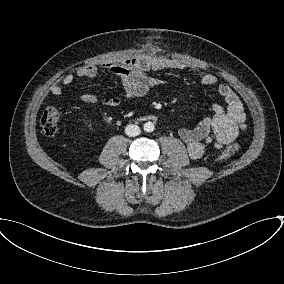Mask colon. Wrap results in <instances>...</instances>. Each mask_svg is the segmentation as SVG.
<instances>
[{
	"instance_id": "5ec220e1",
	"label": "colon",
	"mask_w": 284,
	"mask_h": 284,
	"mask_svg": "<svg viewBox=\"0 0 284 284\" xmlns=\"http://www.w3.org/2000/svg\"><path fill=\"white\" fill-rule=\"evenodd\" d=\"M60 119V113L57 108L53 106L47 107L41 114L40 126L42 132L46 136H54L58 131V123ZM238 148L237 144L230 145L219 157L220 160H226L230 157Z\"/></svg>"
}]
</instances>
